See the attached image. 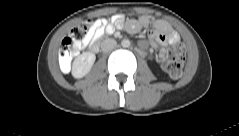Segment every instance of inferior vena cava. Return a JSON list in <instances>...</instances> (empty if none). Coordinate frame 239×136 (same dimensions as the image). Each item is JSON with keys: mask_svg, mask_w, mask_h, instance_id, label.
Returning <instances> with one entry per match:
<instances>
[{"mask_svg": "<svg viewBox=\"0 0 239 136\" xmlns=\"http://www.w3.org/2000/svg\"><path fill=\"white\" fill-rule=\"evenodd\" d=\"M117 45V42L114 39L106 38L101 42V50L103 52L112 51Z\"/></svg>", "mask_w": 239, "mask_h": 136, "instance_id": "inferior-vena-cava-1", "label": "inferior vena cava"}]
</instances>
